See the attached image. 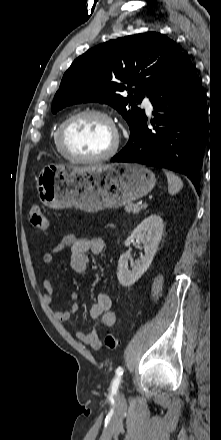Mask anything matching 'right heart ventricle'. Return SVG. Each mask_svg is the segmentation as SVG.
I'll use <instances>...</instances> for the list:
<instances>
[{"mask_svg":"<svg viewBox=\"0 0 221 440\" xmlns=\"http://www.w3.org/2000/svg\"><path fill=\"white\" fill-rule=\"evenodd\" d=\"M62 122L63 121H59L58 123H56L52 129V132H51V139H52L54 148L59 154H61V153L59 151L58 144H57V132H58L59 126L61 125Z\"/></svg>","mask_w":221,"mask_h":440,"instance_id":"obj_1","label":"right heart ventricle"}]
</instances>
